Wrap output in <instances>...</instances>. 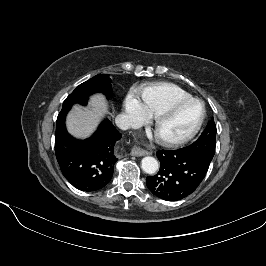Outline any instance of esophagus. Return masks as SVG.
Segmentation results:
<instances>
[{"label": "esophagus", "mask_w": 266, "mask_h": 266, "mask_svg": "<svg viewBox=\"0 0 266 266\" xmlns=\"http://www.w3.org/2000/svg\"><path fill=\"white\" fill-rule=\"evenodd\" d=\"M130 154L132 156L140 157V156L148 155V154H150V152H148V151H146L140 147L134 146L131 149Z\"/></svg>", "instance_id": "obj_1"}]
</instances>
